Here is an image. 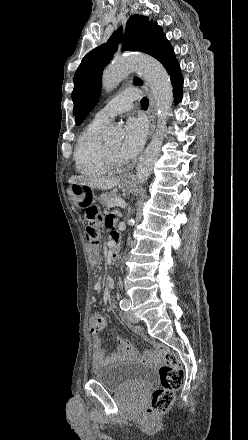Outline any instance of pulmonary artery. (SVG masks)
<instances>
[{"instance_id": "obj_1", "label": "pulmonary artery", "mask_w": 248, "mask_h": 440, "mask_svg": "<svg viewBox=\"0 0 248 440\" xmlns=\"http://www.w3.org/2000/svg\"><path fill=\"white\" fill-rule=\"evenodd\" d=\"M140 97V91L130 88L112 98L94 117L98 123L106 124L115 116L130 110L132 102Z\"/></svg>"}]
</instances>
